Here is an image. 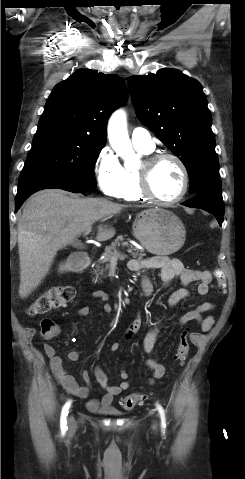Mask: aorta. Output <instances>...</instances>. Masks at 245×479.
Returning <instances> with one entry per match:
<instances>
[{
	"label": "aorta",
	"instance_id": "762f6f07",
	"mask_svg": "<svg viewBox=\"0 0 245 479\" xmlns=\"http://www.w3.org/2000/svg\"><path fill=\"white\" fill-rule=\"evenodd\" d=\"M108 138L110 145L118 156L125 161V167L128 168L132 160H136L132 150V144L127 131V121L125 112L120 109L114 112L108 123Z\"/></svg>",
	"mask_w": 245,
	"mask_h": 479
}]
</instances>
